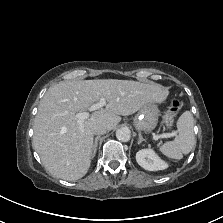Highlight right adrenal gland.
Instances as JSON below:
<instances>
[{
    "mask_svg": "<svg viewBox=\"0 0 223 223\" xmlns=\"http://www.w3.org/2000/svg\"><path fill=\"white\" fill-rule=\"evenodd\" d=\"M98 139L99 136H97L94 140L93 146H92V158L95 157L96 151H97V145H98Z\"/></svg>",
    "mask_w": 223,
    "mask_h": 223,
    "instance_id": "obj_1",
    "label": "right adrenal gland"
}]
</instances>
